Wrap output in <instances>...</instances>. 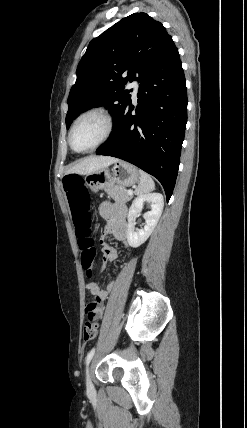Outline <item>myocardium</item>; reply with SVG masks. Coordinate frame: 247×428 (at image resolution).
<instances>
[{"mask_svg": "<svg viewBox=\"0 0 247 428\" xmlns=\"http://www.w3.org/2000/svg\"><path fill=\"white\" fill-rule=\"evenodd\" d=\"M91 115H97L104 120L105 125H106L105 133H104L103 137L92 147L87 148V149H78L74 146L73 141H72L73 132L75 130L76 125L79 123L80 120H82L85 117L91 116ZM113 130H114V118L108 110H106L105 108H101V107L90 108V109L80 113L74 119V121L70 127L69 135H68L69 145L74 151L79 152V153H86V152L94 151L109 140V138L111 137V135L113 133Z\"/></svg>", "mask_w": 247, "mask_h": 428, "instance_id": "obj_1", "label": "myocardium"}]
</instances>
